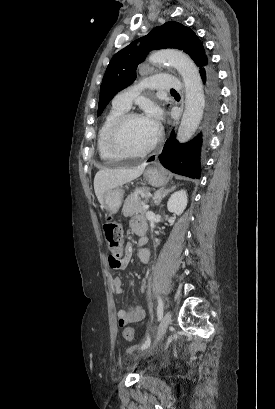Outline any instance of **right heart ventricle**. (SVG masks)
Wrapping results in <instances>:
<instances>
[{"label": "right heart ventricle", "mask_w": 275, "mask_h": 409, "mask_svg": "<svg viewBox=\"0 0 275 409\" xmlns=\"http://www.w3.org/2000/svg\"><path fill=\"white\" fill-rule=\"evenodd\" d=\"M127 110L116 107L113 105L112 109L107 114L105 120L103 121L97 137V148L100 157H114L111 155L108 149V137L113 123Z\"/></svg>", "instance_id": "obj_1"}]
</instances>
